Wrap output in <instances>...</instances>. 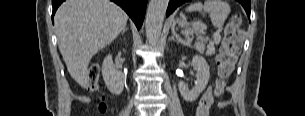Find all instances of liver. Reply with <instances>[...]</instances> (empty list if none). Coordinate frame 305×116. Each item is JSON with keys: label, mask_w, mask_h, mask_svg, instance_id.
Here are the masks:
<instances>
[{"label": "liver", "mask_w": 305, "mask_h": 116, "mask_svg": "<svg viewBox=\"0 0 305 116\" xmlns=\"http://www.w3.org/2000/svg\"><path fill=\"white\" fill-rule=\"evenodd\" d=\"M127 20V14L109 0H66L60 5L54 17L58 47L81 87H87L91 58L119 35Z\"/></svg>", "instance_id": "6515ba94"}]
</instances>
